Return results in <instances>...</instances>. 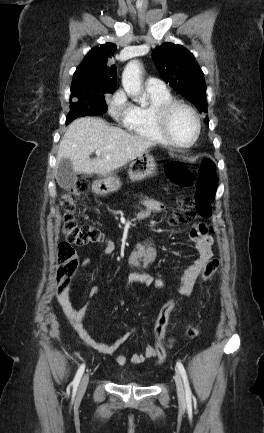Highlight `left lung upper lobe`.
Returning <instances> with one entry per match:
<instances>
[{
    "instance_id": "left-lung-upper-lobe-1",
    "label": "left lung upper lobe",
    "mask_w": 264,
    "mask_h": 433,
    "mask_svg": "<svg viewBox=\"0 0 264 433\" xmlns=\"http://www.w3.org/2000/svg\"><path fill=\"white\" fill-rule=\"evenodd\" d=\"M152 56L164 81L191 101L200 113H206L204 74L192 53L181 45L164 43L154 50ZM205 121L209 124L208 117Z\"/></svg>"
}]
</instances>
